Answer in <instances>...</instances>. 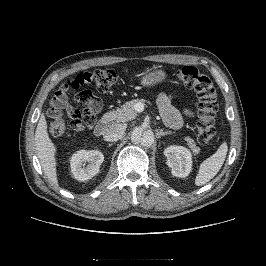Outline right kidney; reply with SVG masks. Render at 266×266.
Masks as SVG:
<instances>
[{"label":"right kidney","instance_id":"1","mask_svg":"<svg viewBox=\"0 0 266 266\" xmlns=\"http://www.w3.org/2000/svg\"><path fill=\"white\" fill-rule=\"evenodd\" d=\"M104 161V156L97 150H80L74 153L70 160L71 173L79 181L94 177ZM87 163V165H86Z\"/></svg>","mask_w":266,"mask_h":266}]
</instances>
